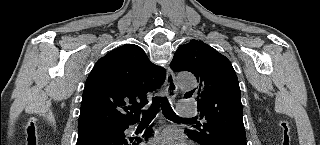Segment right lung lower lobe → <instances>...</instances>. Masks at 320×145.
<instances>
[{
    "label": "right lung lower lobe",
    "instance_id": "obj_1",
    "mask_svg": "<svg viewBox=\"0 0 320 145\" xmlns=\"http://www.w3.org/2000/svg\"><path fill=\"white\" fill-rule=\"evenodd\" d=\"M128 126L78 131L76 145H138L141 141L139 138L125 136L124 131ZM145 134H152L151 127L146 130Z\"/></svg>",
    "mask_w": 320,
    "mask_h": 145
}]
</instances>
